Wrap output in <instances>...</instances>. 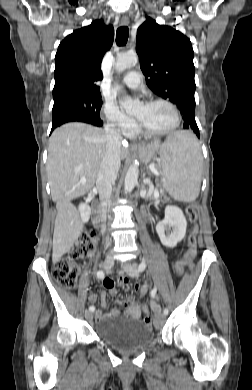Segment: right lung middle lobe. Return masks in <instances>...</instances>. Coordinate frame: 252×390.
<instances>
[{"mask_svg": "<svg viewBox=\"0 0 252 390\" xmlns=\"http://www.w3.org/2000/svg\"><path fill=\"white\" fill-rule=\"evenodd\" d=\"M101 96L77 95L54 101L53 119L75 115L101 121L99 112L102 106Z\"/></svg>", "mask_w": 252, "mask_h": 390, "instance_id": "obj_1", "label": "right lung middle lobe"}]
</instances>
